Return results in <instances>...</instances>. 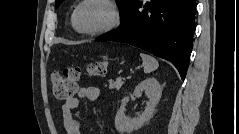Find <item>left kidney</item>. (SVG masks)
<instances>
[{"label":"left kidney","instance_id":"left-kidney-1","mask_svg":"<svg viewBox=\"0 0 239 134\" xmlns=\"http://www.w3.org/2000/svg\"><path fill=\"white\" fill-rule=\"evenodd\" d=\"M162 86L155 78H147L136 86L133 95L142 96V92L148 97V102L144 112L135 118H127L125 116V106L129 101V97H124L121 101V106L118 109L115 117V127L120 134L130 133L143 126L153 115L155 107L160 101L162 95Z\"/></svg>","mask_w":239,"mask_h":134}]
</instances>
